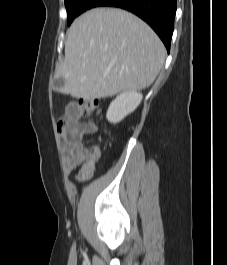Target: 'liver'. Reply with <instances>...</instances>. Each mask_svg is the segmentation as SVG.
<instances>
[{
	"label": "liver",
	"mask_w": 227,
	"mask_h": 265,
	"mask_svg": "<svg viewBox=\"0 0 227 265\" xmlns=\"http://www.w3.org/2000/svg\"><path fill=\"white\" fill-rule=\"evenodd\" d=\"M166 49L141 19L115 8L92 9L68 29L57 91L93 100L149 87L164 65Z\"/></svg>",
	"instance_id": "1"
}]
</instances>
